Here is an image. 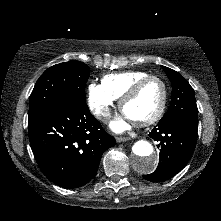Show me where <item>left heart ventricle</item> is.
I'll return each instance as SVG.
<instances>
[{
	"label": "left heart ventricle",
	"mask_w": 221,
	"mask_h": 221,
	"mask_svg": "<svg viewBox=\"0 0 221 221\" xmlns=\"http://www.w3.org/2000/svg\"><path fill=\"white\" fill-rule=\"evenodd\" d=\"M162 98V87L156 80L146 83L139 93L124 108V114L130 120H144L158 109Z\"/></svg>",
	"instance_id": "left-heart-ventricle-1"
}]
</instances>
